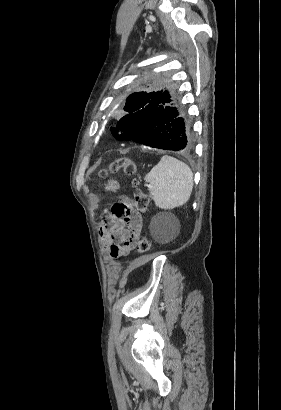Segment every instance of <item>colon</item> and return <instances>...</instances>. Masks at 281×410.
I'll return each mask as SVG.
<instances>
[{"label": "colon", "instance_id": "obj_1", "mask_svg": "<svg viewBox=\"0 0 281 410\" xmlns=\"http://www.w3.org/2000/svg\"><path fill=\"white\" fill-rule=\"evenodd\" d=\"M122 170L127 176L134 178L133 184L135 191L132 199L127 197L120 198L115 202L110 209V214L116 217H128L134 212L144 213L146 212L149 204L147 194L139 187L138 168L136 163L129 158H120L111 164L107 168L100 170V177H106L109 173H116ZM151 243L146 237H142L138 242V252L140 254H146L150 251Z\"/></svg>", "mask_w": 281, "mask_h": 410}]
</instances>
